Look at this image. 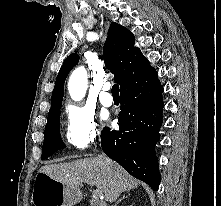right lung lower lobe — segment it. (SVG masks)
Segmentation results:
<instances>
[{
  "instance_id": "right-lung-lower-lobe-1",
  "label": "right lung lower lobe",
  "mask_w": 221,
  "mask_h": 206,
  "mask_svg": "<svg viewBox=\"0 0 221 206\" xmlns=\"http://www.w3.org/2000/svg\"><path fill=\"white\" fill-rule=\"evenodd\" d=\"M162 92L156 70L148 67L120 89L119 130L105 127L101 132L105 154L153 190L161 181L155 145L162 124Z\"/></svg>"
}]
</instances>
